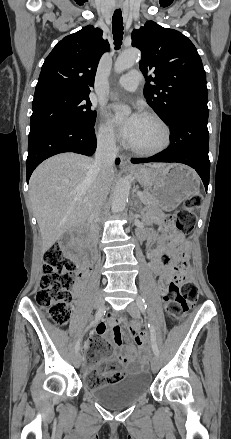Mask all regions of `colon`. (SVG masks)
<instances>
[{"instance_id": "5ec220e1", "label": "colon", "mask_w": 231, "mask_h": 439, "mask_svg": "<svg viewBox=\"0 0 231 439\" xmlns=\"http://www.w3.org/2000/svg\"><path fill=\"white\" fill-rule=\"evenodd\" d=\"M202 200L196 195L186 200L184 208L178 210L174 216V224L181 232H189L193 229L196 221L194 210ZM168 222V220H167ZM173 235L172 240H177ZM186 254L181 252L174 262L177 271L174 275H165L164 302L169 316L178 319L186 310L188 304L195 303L199 298V288L196 283L188 278ZM77 266L68 258L59 243L49 247L44 253L43 275L40 280V288L36 294V303L53 322L58 325L67 323L70 317V304L72 291L76 283ZM138 325L130 327L131 333H136ZM89 349L87 358L89 361L107 358L112 349L108 343L99 337H92L88 341ZM110 366V362L106 368ZM124 377L121 370L99 373L92 371L87 377L89 387L102 386L104 384L119 382Z\"/></svg>"}]
</instances>
